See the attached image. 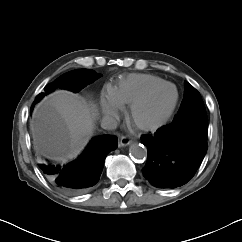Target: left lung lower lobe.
<instances>
[{"label": "left lung lower lobe", "mask_w": 242, "mask_h": 242, "mask_svg": "<svg viewBox=\"0 0 242 242\" xmlns=\"http://www.w3.org/2000/svg\"><path fill=\"white\" fill-rule=\"evenodd\" d=\"M141 140L148 149L144 177L157 188H176L192 179L207 152V123L177 131L162 127Z\"/></svg>", "instance_id": "obj_1"}]
</instances>
